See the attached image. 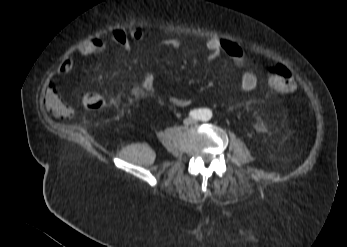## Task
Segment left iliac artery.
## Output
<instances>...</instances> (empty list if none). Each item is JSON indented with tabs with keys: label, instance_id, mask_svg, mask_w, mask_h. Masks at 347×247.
I'll use <instances>...</instances> for the list:
<instances>
[{
	"label": "left iliac artery",
	"instance_id": "1",
	"mask_svg": "<svg viewBox=\"0 0 347 247\" xmlns=\"http://www.w3.org/2000/svg\"><path fill=\"white\" fill-rule=\"evenodd\" d=\"M210 117H211L210 112H209V111H205V113H204V115H203V117H202V120H203V121H207V120L210 119Z\"/></svg>",
	"mask_w": 347,
	"mask_h": 247
}]
</instances>
